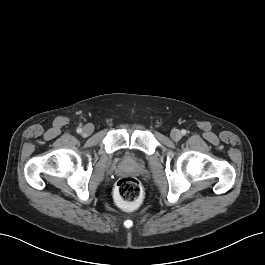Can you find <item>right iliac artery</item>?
<instances>
[{
	"mask_svg": "<svg viewBox=\"0 0 265 265\" xmlns=\"http://www.w3.org/2000/svg\"><path fill=\"white\" fill-rule=\"evenodd\" d=\"M77 132L78 133H81L82 132V129L81 128H77Z\"/></svg>",
	"mask_w": 265,
	"mask_h": 265,
	"instance_id": "right-iliac-artery-1",
	"label": "right iliac artery"
}]
</instances>
